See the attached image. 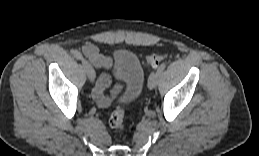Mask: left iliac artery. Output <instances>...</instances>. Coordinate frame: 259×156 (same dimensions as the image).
Listing matches in <instances>:
<instances>
[{
  "label": "left iliac artery",
  "instance_id": "44dca946",
  "mask_svg": "<svg viewBox=\"0 0 259 156\" xmlns=\"http://www.w3.org/2000/svg\"><path fill=\"white\" fill-rule=\"evenodd\" d=\"M165 67H166V63H162L160 66H159V68L157 69V76H156V78H155V85H158L159 84V80H160V78H161V73L163 72V70L165 69Z\"/></svg>",
  "mask_w": 259,
  "mask_h": 156
}]
</instances>
